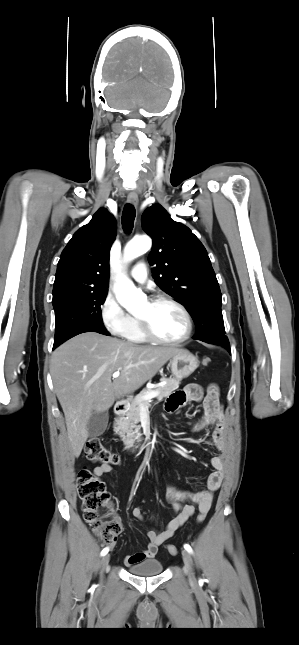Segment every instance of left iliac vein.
Here are the masks:
<instances>
[{
	"label": "left iliac vein",
	"instance_id": "left-iliac-vein-1",
	"mask_svg": "<svg viewBox=\"0 0 299 645\" xmlns=\"http://www.w3.org/2000/svg\"><path fill=\"white\" fill-rule=\"evenodd\" d=\"M182 558L184 562L185 573L191 583L196 582L195 574L193 571L192 557L187 550L182 551Z\"/></svg>",
	"mask_w": 299,
	"mask_h": 645
}]
</instances>
